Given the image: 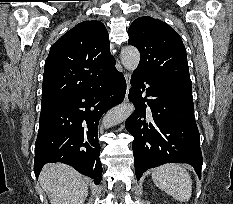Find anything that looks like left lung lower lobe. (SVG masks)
<instances>
[{
	"label": "left lung lower lobe",
	"instance_id": "0a47b994",
	"mask_svg": "<svg viewBox=\"0 0 233 204\" xmlns=\"http://www.w3.org/2000/svg\"><path fill=\"white\" fill-rule=\"evenodd\" d=\"M131 85L129 100L136 108L126 120V129L134 137L137 180L146 170L165 163H188L201 177L203 159L192 88L159 82L136 71Z\"/></svg>",
	"mask_w": 233,
	"mask_h": 204
}]
</instances>
